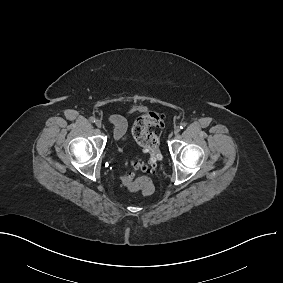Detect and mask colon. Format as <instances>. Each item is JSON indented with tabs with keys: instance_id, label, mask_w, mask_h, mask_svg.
I'll use <instances>...</instances> for the list:
<instances>
[{
	"instance_id": "5ec220e1",
	"label": "colon",
	"mask_w": 283,
	"mask_h": 283,
	"mask_svg": "<svg viewBox=\"0 0 283 283\" xmlns=\"http://www.w3.org/2000/svg\"><path fill=\"white\" fill-rule=\"evenodd\" d=\"M162 125L163 116L156 111H148L135 119L132 134L142 150L148 154V159L146 160L137 159L131 161L130 164L135 169L146 173H150L155 169L160 159V152L159 138L153 129L161 127ZM123 183L130 192H141L144 195H149L154 190L152 180L145 176L134 178L128 175L124 177Z\"/></svg>"
}]
</instances>
